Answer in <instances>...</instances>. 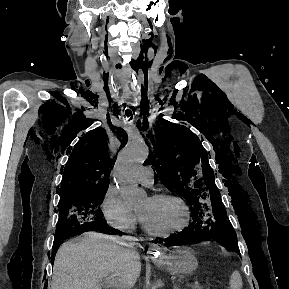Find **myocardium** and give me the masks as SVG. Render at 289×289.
Returning <instances> with one entry per match:
<instances>
[{"instance_id":"f54148a6","label":"myocardium","mask_w":289,"mask_h":289,"mask_svg":"<svg viewBox=\"0 0 289 289\" xmlns=\"http://www.w3.org/2000/svg\"><path fill=\"white\" fill-rule=\"evenodd\" d=\"M150 198L153 200L169 199V200L176 201L183 208L186 219H185V223L181 227L174 229V230L166 231V232H160L150 227L149 224L139 214L142 226L148 234L152 236H156V237H168V236L178 234L188 228V226L190 225V221H191V211L187 203L181 197L172 193H157V194H153Z\"/></svg>"}]
</instances>
